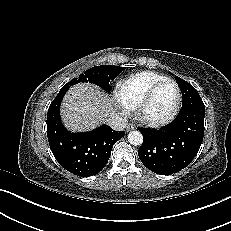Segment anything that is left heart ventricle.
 Returning a JSON list of instances; mask_svg holds the SVG:
<instances>
[{
	"mask_svg": "<svg viewBox=\"0 0 231 231\" xmlns=\"http://www.w3.org/2000/svg\"><path fill=\"white\" fill-rule=\"evenodd\" d=\"M175 101L176 89L174 85L171 83H165L155 91L149 100L144 113L151 118L163 117L170 112Z\"/></svg>",
	"mask_w": 231,
	"mask_h": 231,
	"instance_id": "left-heart-ventricle-1",
	"label": "left heart ventricle"
}]
</instances>
